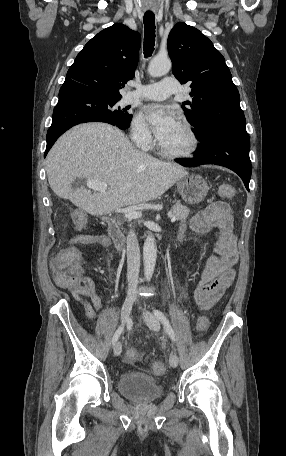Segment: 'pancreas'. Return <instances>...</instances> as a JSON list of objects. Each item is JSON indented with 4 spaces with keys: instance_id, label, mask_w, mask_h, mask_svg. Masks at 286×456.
I'll return each mask as SVG.
<instances>
[{
    "instance_id": "cf45deb5",
    "label": "pancreas",
    "mask_w": 286,
    "mask_h": 456,
    "mask_svg": "<svg viewBox=\"0 0 286 456\" xmlns=\"http://www.w3.org/2000/svg\"><path fill=\"white\" fill-rule=\"evenodd\" d=\"M172 215L176 217L178 221H185L190 213L188 207L181 205L180 203H176L171 208Z\"/></svg>"
}]
</instances>
